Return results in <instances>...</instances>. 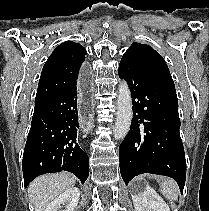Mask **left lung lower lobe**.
<instances>
[{
    "mask_svg": "<svg viewBox=\"0 0 209 211\" xmlns=\"http://www.w3.org/2000/svg\"><path fill=\"white\" fill-rule=\"evenodd\" d=\"M119 77L130 87L134 112L130 131L119 147L125 184L139 174L152 173L175 179L183 193L186 160L175 87L128 57L120 61Z\"/></svg>",
    "mask_w": 209,
    "mask_h": 211,
    "instance_id": "1",
    "label": "left lung lower lobe"
}]
</instances>
